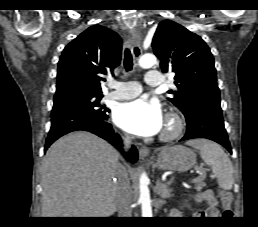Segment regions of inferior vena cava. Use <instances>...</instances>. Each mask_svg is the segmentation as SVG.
<instances>
[{
  "mask_svg": "<svg viewBox=\"0 0 258 227\" xmlns=\"http://www.w3.org/2000/svg\"><path fill=\"white\" fill-rule=\"evenodd\" d=\"M125 148H129L131 145V137L125 136L123 138ZM117 192H116V207L118 211V217H132V194L131 186L128 179V174L126 168L122 165H119L117 170Z\"/></svg>",
  "mask_w": 258,
  "mask_h": 227,
  "instance_id": "602c4592",
  "label": "inferior vena cava"
}]
</instances>
